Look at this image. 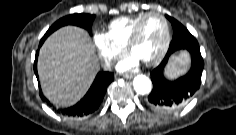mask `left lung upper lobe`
<instances>
[{"label":"left lung upper lobe","mask_w":236,"mask_h":135,"mask_svg":"<svg viewBox=\"0 0 236 135\" xmlns=\"http://www.w3.org/2000/svg\"><path fill=\"white\" fill-rule=\"evenodd\" d=\"M167 18L169 19V18H171L170 16H167Z\"/></svg>","instance_id":"1"}]
</instances>
